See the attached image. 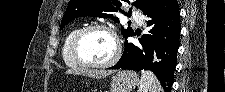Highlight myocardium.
Masks as SVG:
<instances>
[{"label": "myocardium", "mask_w": 225, "mask_h": 92, "mask_svg": "<svg viewBox=\"0 0 225 92\" xmlns=\"http://www.w3.org/2000/svg\"><path fill=\"white\" fill-rule=\"evenodd\" d=\"M93 30L105 31L111 36V38L113 40L114 55L112 56L111 59H109L108 61H106L104 63H92V62L84 59L79 52L80 41L88 32L93 31ZM70 53H71L72 58L75 61V63L80 67L88 68V69H106V68H109V67L113 66L114 64H116V62L119 60V58L121 56V44H120V40H119L117 34L111 27H109L108 25H105V24L94 23V24H90L85 27H82L74 35V37L72 38L71 43H70Z\"/></svg>", "instance_id": "obj_1"}]
</instances>
